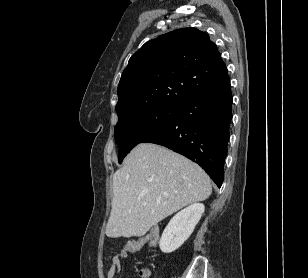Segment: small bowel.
Instances as JSON below:
<instances>
[{"mask_svg":"<svg viewBox=\"0 0 308 278\" xmlns=\"http://www.w3.org/2000/svg\"><path fill=\"white\" fill-rule=\"evenodd\" d=\"M142 248V247H141ZM141 250V249H140ZM127 250H120L112 259V265L108 272V278H117L120 269H121V260L128 257ZM139 275L141 278H149L150 270L147 268H143L139 271Z\"/></svg>","mask_w":308,"mask_h":278,"instance_id":"obj_1","label":"small bowel"}]
</instances>
